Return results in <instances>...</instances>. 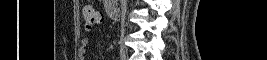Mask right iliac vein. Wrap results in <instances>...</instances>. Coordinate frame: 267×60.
Segmentation results:
<instances>
[{
    "mask_svg": "<svg viewBox=\"0 0 267 60\" xmlns=\"http://www.w3.org/2000/svg\"><path fill=\"white\" fill-rule=\"evenodd\" d=\"M122 58L125 59L126 58V55L125 53H122Z\"/></svg>",
    "mask_w": 267,
    "mask_h": 60,
    "instance_id": "1",
    "label": "right iliac vein"
}]
</instances>
